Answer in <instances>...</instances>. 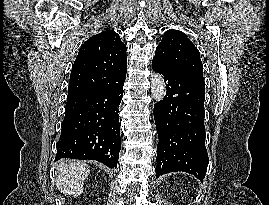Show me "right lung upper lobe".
<instances>
[{
    "mask_svg": "<svg viewBox=\"0 0 269 205\" xmlns=\"http://www.w3.org/2000/svg\"><path fill=\"white\" fill-rule=\"evenodd\" d=\"M126 46L119 35L105 30L89 38L73 64L68 94L117 85L126 74Z\"/></svg>",
    "mask_w": 269,
    "mask_h": 205,
    "instance_id": "obj_1",
    "label": "right lung upper lobe"
}]
</instances>
